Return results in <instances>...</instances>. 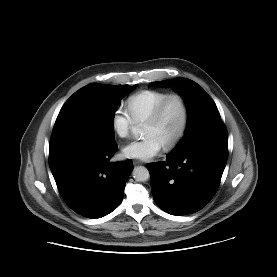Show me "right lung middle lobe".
Masks as SVG:
<instances>
[{"instance_id": "obj_1", "label": "right lung middle lobe", "mask_w": 277, "mask_h": 277, "mask_svg": "<svg viewBox=\"0 0 277 277\" xmlns=\"http://www.w3.org/2000/svg\"><path fill=\"white\" fill-rule=\"evenodd\" d=\"M135 87L92 83L79 89L63 105L54 129L76 130L103 142H114L117 106Z\"/></svg>"}]
</instances>
